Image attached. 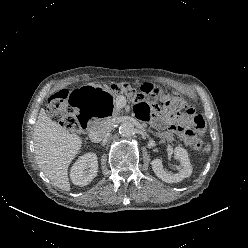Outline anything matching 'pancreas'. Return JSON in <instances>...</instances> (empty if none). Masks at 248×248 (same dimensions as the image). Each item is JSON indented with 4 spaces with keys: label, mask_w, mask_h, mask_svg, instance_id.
Masks as SVG:
<instances>
[{
    "label": "pancreas",
    "mask_w": 248,
    "mask_h": 248,
    "mask_svg": "<svg viewBox=\"0 0 248 248\" xmlns=\"http://www.w3.org/2000/svg\"><path fill=\"white\" fill-rule=\"evenodd\" d=\"M119 113H120V108L119 107H115L113 116H117ZM154 135L157 136V137H159V138L168 140L170 142L174 140L173 134L171 132H169V131L155 132Z\"/></svg>",
    "instance_id": "obj_1"
}]
</instances>
